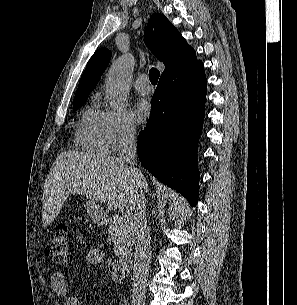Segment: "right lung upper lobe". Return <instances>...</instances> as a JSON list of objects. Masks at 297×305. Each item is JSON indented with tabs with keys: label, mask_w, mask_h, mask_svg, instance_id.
<instances>
[{
	"label": "right lung upper lobe",
	"mask_w": 297,
	"mask_h": 305,
	"mask_svg": "<svg viewBox=\"0 0 297 305\" xmlns=\"http://www.w3.org/2000/svg\"><path fill=\"white\" fill-rule=\"evenodd\" d=\"M144 42L156 58L165 65L161 78L184 73L200 62L193 48L161 13H155L150 17L145 28ZM110 58L111 52L106 48L94 53L81 76L74 101L89 96L90 91L100 80Z\"/></svg>",
	"instance_id": "right-lung-upper-lobe-1"
}]
</instances>
